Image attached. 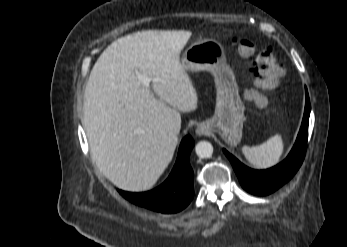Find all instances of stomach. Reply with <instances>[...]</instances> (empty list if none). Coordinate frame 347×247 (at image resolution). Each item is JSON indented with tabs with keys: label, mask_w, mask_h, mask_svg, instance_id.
Wrapping results in <instances>:
<instances>
[{
	"label": "stomach",
	"mask_w": 347,
	"mask_h": 247,
	"mask_svg": "<svg viewBox=\"0 0 347 247\" xmlns=\"http://www.w3.org/2000/svg\"><path fill=\"white\" fill-rule=\"evenodd\" d=\"M181 64L185 71H209L215 81V113L205 123L219 133L230 145H237L242 138L244 105L238 86L225 63L224 48L214 39H202L189 46Z\"/></svg>",
	"instance_id": "0dacf381"
}]
</instances>
